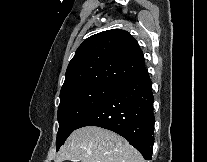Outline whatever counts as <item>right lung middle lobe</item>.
Segmentation results:
<instances>
[{"label":"right lung middle lobe","mask_w":207,"mask_h":162,"mask_svg":"<svg viewBox=\"0 0 207 162\" xmlns=\"http://www.w3.org/2000/svg\"><path fill=\"white\" fill-rule=\"evenodd\" d=\"M115 85L94 84L60 94L57 150L80 122L112 91Z\"/></svg>","instance_id":"obj_1"}]
</instances>
